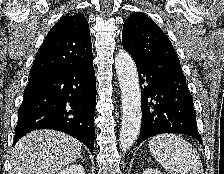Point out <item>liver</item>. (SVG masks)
Wrapping results in <instances>:
<instances>
[{
  "label": "liver",
  "instance_id": "liver-1",
  "mask_svg": "<svg viewBox=\"0 0 224 174\" xmlns=\"http://www.w3.org/2000/svg\"><path fill=\"white\" fill-rule=\"evenodd\" d=\"M80 153L81 143L65 133L32 131L13 147L9 174H56Z\"/></svg>",
  "mask_w": 224,
  "mask_h": 174
}]
</instances>
